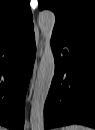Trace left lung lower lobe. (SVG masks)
Returning <instances> with one entry per match:
<instances>
[{"label":"left lung lower lobe","mask_w":95,"mask_h":130,"mask_svg":"<svg viewBox=\"0 0 95 130\" xmlns=\"http://www.w3.org/2000/svg\"><path fill=\"white\" fill-rule=\"evenodd\" d=\"M52 46L55 75L44 108L46 130L69 124L95 128V44L53 34Z\"/></svg>","instance_id":"obj_1"}]
</instances>
